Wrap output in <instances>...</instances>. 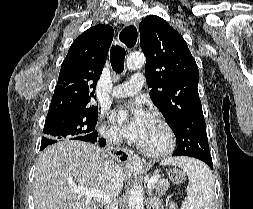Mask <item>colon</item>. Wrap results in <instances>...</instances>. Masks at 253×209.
<instances>
[{"instance_id":"colon-1","label":"colon","mask_w":253,"mask_h":209,"mask_svg":"<svg viewBox=\"0 0 253 209\" xmlns=\"http://www.w3.org/2000/svg\"><path fill=\"white\" fill-rule=\"evenodd\" d=\"M170 178L173 182L179 183L184 179V175L181 172H173L170 175Z\"/></svg>"}]
</instances>
